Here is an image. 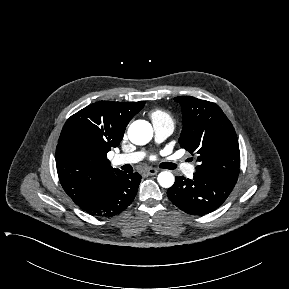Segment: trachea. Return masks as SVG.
I'll use <instances>...</instances> for the list:
<instances>
[{
  "instance_id": "3493384b",
  "label": "trachea",
  "mask_w": 289,
  "mask_h": 289,
  "mask_svg": "<svg viewBox=\"0 0 289 289\" xmlns=\"http://www.w3.org/2000/svg\"><path fill=\"white\" fill-rule=\"evenodd\" d=\"M176 167H177L176 164H173V163H168V164H167V168H168V169H175Z\"/></svg>"
}]
</instances>
